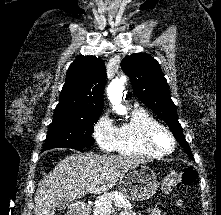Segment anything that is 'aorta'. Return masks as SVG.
<instances>
[{
  "instance_id": "aorta-1",
  "label": "aorta",
  "mask_w": 221,
  "mask_h": 215,
  "mask_svg": "<svg viewBox=\"0 0 221 215\" xmlns=\"http://www.w3.org/2000/svg\"><path fill=\"white\" fill-rule=\"evenodd\" d=\"M124 91V83L121 80H113L107 87L108 98L113 105V109L119 115L127 113L126 107L122 105V96Z\"/></svg>"
}]
</instances>
